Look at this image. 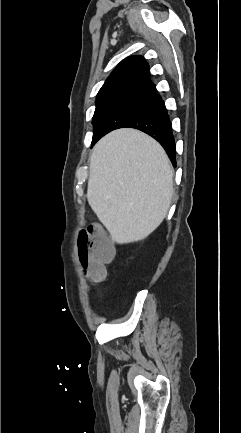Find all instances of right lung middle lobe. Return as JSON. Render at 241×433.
<instances>
[{
	"label": "right lung middle lobe",
	"mask_w": 241,
	"mask_h": 433,
	"mask_svg": "<svg viewBox=\"0 0 241 433\" xmlns=\"http://www.w3.org/2000/svg\"><path fill=\"white\" fill-rule=\"evenodd\" d=\"M152 95H121L96 101V110L93 116L94 145L108 132L122 128L130 120L141 113L152 101Z\"/></svg>",
	"instance_id": "obj_1"
}]
</instances>
